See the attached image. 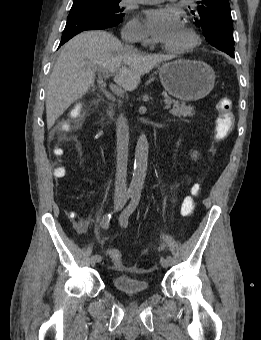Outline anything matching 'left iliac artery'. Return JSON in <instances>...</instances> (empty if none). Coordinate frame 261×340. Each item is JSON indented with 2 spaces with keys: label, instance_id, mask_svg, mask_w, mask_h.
<instances>
[{
  "label": "left iliac artery",
  "instance_id": "obj_1",
  "mask_svg": "<svg viewBox=\"0 0 261 340\" xmlns=\"http://www.w3.org/2000/svg\"><path fill=\"white\" fill-rule=\"evenodd\" d=\"M139 200H140V193L138 192L134 193L132 195V200L130 204L120 215L119 221L122 226L124 227L128 226V219L130 215L135 211L136 207L138 206ZM166 259L170 264L175 261L174 257L170 254L166 255Z\"/></svg>",
  "mask_w": 261,
  "mask_h": 340
}]
</instances>
